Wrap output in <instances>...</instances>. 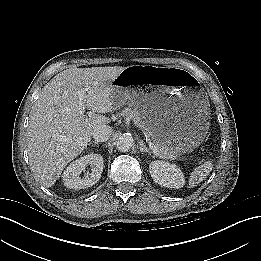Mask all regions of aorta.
<instances>
[{
    "mask_svg": "<svg viewBox=\"0 0 261 261\" xmlns=\"http://www.w3.org/2000/svg\"><path fill=\"white\" fill-rule=\"evenodd\" d=\"M134 146V139L131 134H123L116 141V148L121 152H128Z\"/></svg>",
    "mask_w": 261,
    "mask_h": 261,
    "instance_id": "1",
    "label": "aorta"
}]
</instances>
